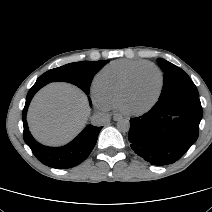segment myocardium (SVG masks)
<instances>
[{
  "label": "myocardium",
  "mask_w": 212,
  "mask_h": 212,
  "mask_svg": "<svg viewBox=\"0 0 212 212\" xmlns=\"http://www.w3.org/2000/svg\"><path fill=\"white\" fill-rule=\"evenodd\" d=\"M147 68L154 69L157 72V74L159 75L158 91H157L155 97L153 98V100L147 105V108H145V109H132V108H129L127 106V99H128V97H129V95L131 93V90H132L133 86H134L135 80H136L138 74L142 70L147 69ZM163 83H164L163 73L159 69V67H157L155 64L147 63V64L139 66L138 68H136L130 74L129 78L127 79V81L125 83V86H124L123 91L121 93L119 104H118L119 109L123 113L128 114V115H138V114L143 113L144 111H146L147 109H149L150 107H152L156 103V101L158 100V98H159V96L161 94Z\"/></svg>",
  "instance_id": "f54148a6"
}]
</instances>
